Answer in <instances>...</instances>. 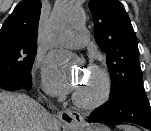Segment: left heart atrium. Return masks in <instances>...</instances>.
Masks as SVG:
<instances>
[{
  "instance_id": "left-heart-atrium-1",
  "label": "left heart atrium",
  "mask_w": 151,
  "mask_h": 131,
  "mask_svg": "<svg viewBox=\"0 0 151 131\" xmlns=\"http://www.w3.org/2000/svg\"><path fill=\"white\" fill-rule=\"evenodd\" d=\"M80 65L78 60L69 61L62 55L50 57L44 69V84L47 91L53 95H62L76 90L83 77Z\"/></svg>"
}]
</instances>
